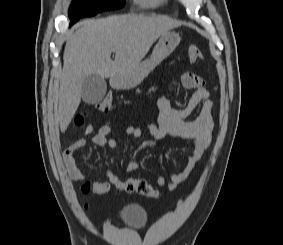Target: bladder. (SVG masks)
I'll list each match as a JSON object with an SVG mask.
<instances>
[{"instance_id":"31cf9c89","label":"bladder","mask_w":283,"mask_h":245,"mask_svg":"<svg viewBox=\"0 0 283 245\" xmlns=\"http://www.w3.org/2000/svg\"><path fill=\"white\" fill-rule=\"evenodd\" d=\"M122 221L134 228L142 227L147 221V213L145 209L135 203L125 205L120 211Z\"/></svg>"}]
</instances>
